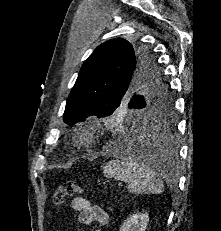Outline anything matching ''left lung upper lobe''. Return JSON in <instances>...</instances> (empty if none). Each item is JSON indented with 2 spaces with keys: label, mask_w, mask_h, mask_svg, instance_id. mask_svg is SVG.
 <instances>
[{
  "label": "left lung upper lobe",
  "mask_w": 221,
  "mask_h": 231,
  "mask_svg": "<svg viewBox=\"0 0 221 231\" xmlns=\"http://www.w3.org/2000/svg\"><path fill=\"white\" fill-rule=\"evenodd\" d=\"M153 53L116 38L99 45L83 63L67 100L64 122L107 117L120 109H143L163 123L172 120V100Z\"/></svg>",
  "instance_id": "5c2ea615"
}]
</instances>
